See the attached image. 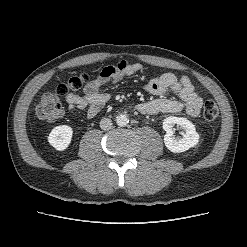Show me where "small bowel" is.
Masks as SVG:
<instances>
[{
    "label": "small bowel",
    "mask_w": 247,
    "mask_h": 247,
    "mask_svg": "<svg viewBox=\"0 0 247 247\" xmlns=\"http://www.w3.org/2000/svg\"><path fill=\"white\" fill-rule=\"evenodd\" d=\"M143 70V65L126 61L103 68L98 77L85 86L82 93L66 94L68 109L70 111L87 109L89 118L96 116L110 98L109 94L101 92V88L106 83H117L122 78ZM144 88L152 95L161 96L174 93L179 99L159 97L139 103L136 109L141 114L178 113L182 110L190 116H197L200 113L202 97L195 91L188 77H179L168 72L150 80Z\"/></svg>",
    "instance_id": "obj_1"
}]
</instances>
